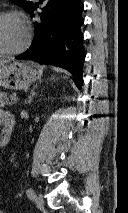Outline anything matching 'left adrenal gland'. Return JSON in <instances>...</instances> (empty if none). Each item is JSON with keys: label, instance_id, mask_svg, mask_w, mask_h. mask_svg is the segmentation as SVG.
Masks as SVG:
<instances>
[{"label": "left adrenal gland", "instance_id": "1", "mask_svg": "<svg viewBox=\"0 0 128 213\" xmlns=\"http://www.w3.org/2000/svg\"><path fill=\"white\" fill-rule=\"evenodd\" d=\"M36 87H37V86H34L33 89L31 90V93H30V95L28 96V99L25 101L26 104H27V103H31L33 97L37 95V93L35 92V88H36Z\"/></svg>", "mask_w": 128, "mask_h": 213}]
</instances>
